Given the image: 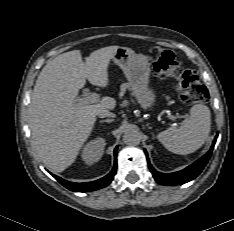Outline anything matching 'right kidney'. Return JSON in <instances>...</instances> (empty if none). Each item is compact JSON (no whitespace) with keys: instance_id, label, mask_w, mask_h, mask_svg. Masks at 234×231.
<instances>
[{"instance_id":"ca27d5eb","label":"right kidney","mask_w":234,"mask_h":231,"mask_svg":"<svg viewBox=\"0 0 234 231\" xmlns=\"http://www.w3.org/2000/svg\"><path fill=\"white\" fill-rule=\"evenodd\" d=\"M105 145V139L101 137L88 142L82 151L83 161L88 165H92L99 161L104 153Z\"/></svg>"}]
</instances>
